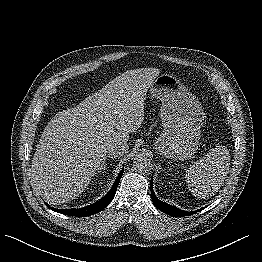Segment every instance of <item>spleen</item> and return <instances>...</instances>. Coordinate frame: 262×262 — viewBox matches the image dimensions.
<instances>
[{
	"label": "spleen",
	"instance_id": "spleen-1",
	"mask_svg": "<svg viewBox=\"0 0 262 262\" xmlns=\"http://www.w3.org/2000/svg\"><path fill=\"white\" fill-rule=\"evenodd\" d=\"M229 151L217 146L196 161L185 174L186 183L193 195L199 198L212 196L223 185L230 165Z\"/></svg>",
	"mask_w": 262,
	"mask_h": 262
}]
</instances>
